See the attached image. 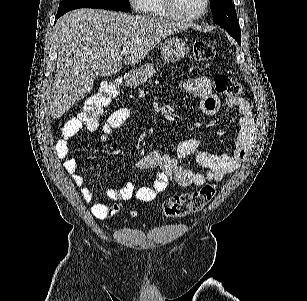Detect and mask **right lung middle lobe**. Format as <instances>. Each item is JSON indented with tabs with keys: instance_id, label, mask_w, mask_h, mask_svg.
Returning <instances> with one entry per match:
<instances>
[{
	"instance_id": "right-lung-middle-lobe-1",
	"label": "right lung middle lobe",
	"mask_w": 307,
	"mask_h": 301,
	"mask_svg": "<svg viewBox=\"0 0 307 301\" xmlns=\"http://www.w3.org/2000/svg\"><path fill=\"white\" fill-rule=\"evenodd\" d=\"M85 7L124 12L131 11L129 0H62L59 4L57 17L70 10Z\"/></svg>"
}]
</instances>
